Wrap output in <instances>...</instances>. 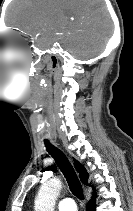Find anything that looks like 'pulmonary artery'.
Returning a JSON list of instances; mask_svg holds the SVG:
<instances>
[{"label": "pulmonary artery", "mask_w": 133, "mask_h": 211, "mask_svg": "<svg viewBox=\"0 0 133 211\" xmlns=\"http://www.w3.org/2000/svg\"><path fill=\"white\" fill-rule=\"evenodd\" d=\"M59 211H77L76 204L72 198H64L58 202Z\"/></svg>", "instance_id": "pulmonary-artery-1"}]
</instances>
